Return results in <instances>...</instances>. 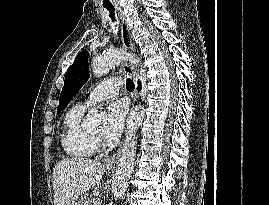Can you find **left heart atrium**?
<instances>
[{
  "instance_id": "obj_1",
  "label": "left heart atrium",
  "mask_w": 269,
  "mask_h": 205,
  "mask_svg": "<svg viewBox=\"0 0 269 205\" xmlns=\"http://www.w3.org/2000/svg\"><path fill=\"white\" fill-rule=\"evenodd\" d=\"M127 104L124 101H115L107 108V121L103 130V136L108 142L116 141L124 127L127 114Z\"/></svg>"
}]
</instances>
